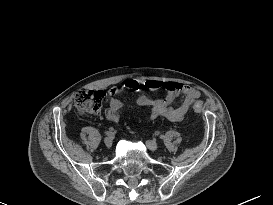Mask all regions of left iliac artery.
Instances as JSON below:
<instances>
[{
	"label": "left iliac artery",
	"instance_id": "1",
	"mask_svg": "<svg viewBox=\"0 0 273 205\" xmlns=\"http://www.w3.org/2000/svg\"><path fill=\"white\" fill-rule=\"evenodd\" d=\"M160 138H161V139H163V138H164V136H163V135H161V136H160Z\"/></svg>",
	"mask_w": 273,
	"mask_h": 205
}]
</instances>
